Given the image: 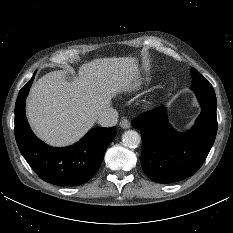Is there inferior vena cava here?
Instances as JSON below:
<instances>
[{"label":"inferior vena cava","mask_w":233,"mask_h":233,"mask_svg":"<svg viewBox=\"0 0 233 233\" xmlns=\"http://www.w3.org/2000/svg\"><path fill=\"white\" fill-rule=\"evenodd\" d=\"M97 120L103 127L114 126L118 121V112L114 108H108L98 116Z\"/></svg>","instance_id":"1"}]
</instances>
